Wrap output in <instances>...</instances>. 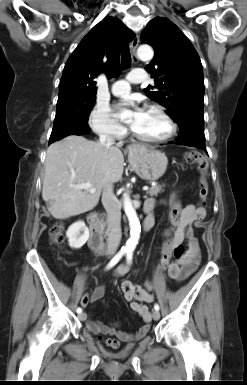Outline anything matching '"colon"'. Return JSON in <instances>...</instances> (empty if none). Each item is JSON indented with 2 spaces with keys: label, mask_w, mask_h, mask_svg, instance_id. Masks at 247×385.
<instances>
[{
  "label": "colon",
  "mask_w": 247,
  "mask_h": 385,
  "mask_svg": "<svg viewBox=\"0 0 247 385\" xmlns=\"http://www.w3.org/2000/svg\"><path fill=\"white\" fill-rule=\"evenodd\" d=\"M185 159L190 164H197L198 170L200 172L199 177V196L203 203L206 202L207 196H208V177H207V169H208V163L206 157L199 153V152H188L185 155ZM63 230H64V223L62 221H58L54 224V226L51 228L50 231V237L51 241L55 244H60L63 242ZM172 256L178 260L181 259L184 256V248L183 246L179 245L177 246L173 252ZM171 260V256H166L165 260L161 263V269L165 270L169 262ZM133 287L130 284H126L123 286V292H132ZM135 295H138V291H133Z\"/></svg>",
  "instance_id": "5ec220e1"
}]
</instances>
